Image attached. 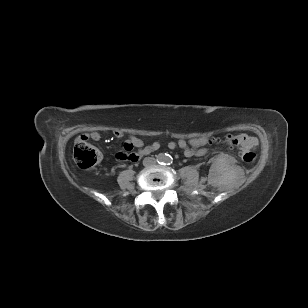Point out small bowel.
<instances>
[{
	"instance_id": "obj_1",
	"label": "small bowel",
	"mask_w": 308,
	"mask_h": 308,
	"mask_svg": "<svg viewBox=\"0 0 308 308\" xmlns=\"http://www.w3.org/2000/svg\"><path fill=\"white\" fill-rule=\"evenodd\" d=\"M117 137H121L123 135L122 132H115ZM89 139L94 141H99L101 136L98 132H93L91 134L86 135ZM207 140L205 138H192L189 140L179 139L177 141H171L168 144L170 149H180L183 151L184 155L187 157L195 156V155H203L205 153V149L203 147L206 145ZM124 146H131L138 149L135 154V161H138L144 155H147L153 151L159 149L160 144L158 142H154L148 146H144L143 141L137 137H131L127 142L124 143Z\"/></svg>"
}]
</instances>
